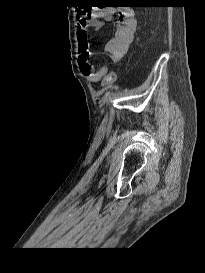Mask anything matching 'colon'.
Instances as JSON below:
<instances>
[{
  "mask_svg": "<svg viewBox=\"0 0 205 273\" xmlns=\"http://www.w3.org/2000/svg\"><path fill=\"white\" fill-rule=\"evenodd\" d=\"M116 80V74L114 72L109 73L104 79V85L109 86Z\"/></svg>",
  "mask_w": 205,
  "mask_h": 273,
  "instance_id": "5ec220e1",
  "label": "colon"
}]
</instances>
